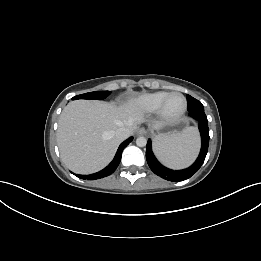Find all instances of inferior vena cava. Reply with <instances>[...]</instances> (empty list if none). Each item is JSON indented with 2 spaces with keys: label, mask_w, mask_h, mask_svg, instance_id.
<instances>
[{
  "label": "inferior vena cava",
  "mask_w": 261,
  "mask_h": 261,
  "mask_svg": "<svg viewBox=\"0 0 261 261\" xmlns=\"http://www.w3.org/2000/svg\"><path fill=\"white\" fill-rule=\"evenodd\" d=\"M129 134H130L129 129L124 127L117 129L115 132V136L120 140L126 139L129 136Z\"/></svg>",
  "instance_id": "602c4592"
}]
</instances>
